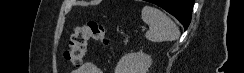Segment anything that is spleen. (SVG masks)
<instances>
[{
    "label": "spleen",
    "instance_id": "spleen-1",
    "mask_svg": "<svg viewBox=\"0 0 244 73\" xmlns=\"http://www.w3.org/2000/svg\"><path fill=\"white\" fill-rule=\"evenodd\" d=\"M142 20L149 25L145 37L151 42L174 41L179 38L178 26L165 13L151 6H144Z\"/></svg>",
    "mask_w": 244,
    "mask_h": 73
}]
</instances>
